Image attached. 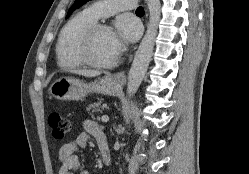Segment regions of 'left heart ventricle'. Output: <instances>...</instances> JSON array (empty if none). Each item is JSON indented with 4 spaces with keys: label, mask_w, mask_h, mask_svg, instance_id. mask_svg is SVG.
Instances as JSON below:
<instances>
[{
    "label": "left heart ventricle",
    "mask_w": 249,
    "mask_h": 174,
    "mask_svg": "<svg viewBox=\"0 0 249 174\" xmlns=\"http://www.w3.org/2000/svg\"><path fill=\"white\" fill-rule=\"evenodd\" d=\"M117 54V40L113 31H100L92 39L90 55L97 62H110Z\"/></svg>",
    "instance_id": "left-heart-ventricle-1"
}]
</instances>
